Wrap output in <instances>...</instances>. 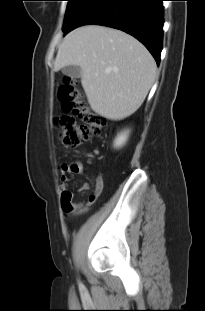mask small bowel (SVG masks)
<instances>
[{"label": "small bowel", "mask_w": 205, "mask_h": 311, "mask_svg": "<svg viewBox=\"0 0 205 311\" xmlns=\"http://www.w3.org/2000/svg\"><path fill=\"white\" fill-rule=\"evenodd\" d=\"M83 171L84 166L79 160H75L71 163H63L60 166L61 207L63 212L70 216H80L88 212L90 205L97 200L104 187V180L102 176H96L95 187L92 193H90L84 201L75 202V195L67 188V186L75 175L82 174ZM89 187V184L85 182L81 185L80 190L87 191Z\"/></svg>", "instance_id": "c3829d8e"}]
</instances>
